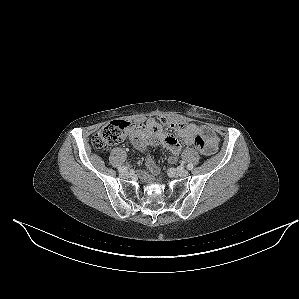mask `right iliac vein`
Returning a JSON list of instances; mask_svg holds the SVG:
<instances>
[{
    "label": "right iliac vein",
    "mask_w": 299,
    "mask_h": 299,
    "mask_svg": "<svg viewBox=\"0 0 299 299\" xmlns=\"http://www.w3.org/2000/svg\"><path fill=\"white\" fill-rule=\"evenodd\" d=\"M120 176H121L122 178H128V177L130 176V173H129V172H122V173L120 174Z\"/></svg>",
    "instance_id": "1"
}]
</instances>
